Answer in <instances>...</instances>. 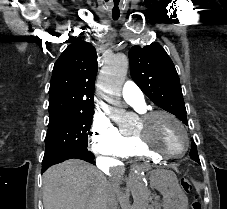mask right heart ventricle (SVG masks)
<instances>
[{
    "label": "right heart ventricle",
    "mask_w": 227,
    "mask_h": 209,
    "mask_svg": "<svg viewBox=\"0 0 227 209\" xmlns=\"http://www.w3.org/2000/svg\"><path fill=\"white\" fill-rule=\"evenodd\" d=\"M123 158H137L151 162H159L161 159L147 154L143 148L135 141L134 137H127V145L122 153Z\"/></svg>",
    "instance_id": "1"
}]
</instances>
